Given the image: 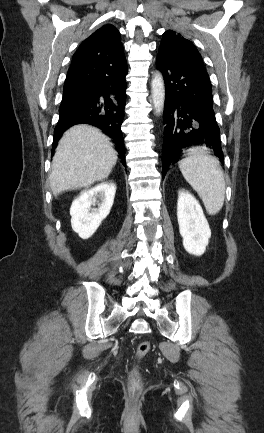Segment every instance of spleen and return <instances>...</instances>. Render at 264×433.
Listing matches in <instances>:
<instances>
[{
    "label": "spleen",
    "instance_id": "obj_1",
    "mask_svg": "<svg viewBox=\"0 0 264 433\" xmlns=\"http://www.w3.org/2000/svg\"><path fill=\"white\" fill-rule=\"evenodd\" d=\"M185 180L202 199L210 215L217 214L224 204L225 180L219 160L204 147L188 150L187 157L179 162Z\"/></svg>",
    "mask_w": 264,
    "mask_h": 433
}]
</instances>
